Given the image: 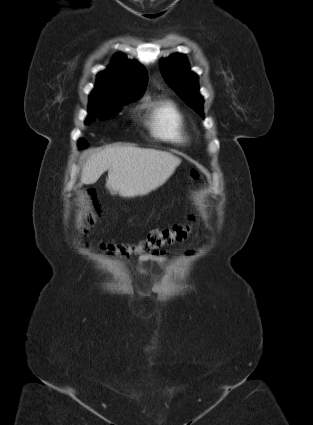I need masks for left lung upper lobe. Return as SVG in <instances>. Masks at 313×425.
<instances>
[{
  "label": "left lung upper lobe",
  "mask_w": 313,
  "mask_h": 425,
  "mask_svg": "<svg viewBox=\"0 0 313 425\" xmlns=\"http://www.w3.org/2000/svg\"><path fill=\"white\" fill-rule=\"evenodd\" d=\"M159 64L169 86L203 117V98L199 94L198 77L190 71L186 57L182 54H173L161 59Z\"/></svg>",
  "instance_id": "5c2ea615"
}]
</instances>
